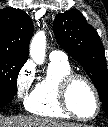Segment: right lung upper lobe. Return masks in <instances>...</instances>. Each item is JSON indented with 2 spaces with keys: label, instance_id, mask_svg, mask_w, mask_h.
Returning <instances> with one entry per match:
<instances>
[{
  "label": "right lung upper lobe",
  "instance_id": "obj_1",
  "mask_svg": "<svg viewBox=\"0 0 108 127\" xmlns=\"http://www.w3.org/2000/svg\"><path fill=\"white\" fill-rule=\"evenodd\" d=\"M33 34L31 18L22 10H0V54L27 60Z\"/></svg>",
  "mask_w": 108,
  "mask_h": 127
}]
</instances>
